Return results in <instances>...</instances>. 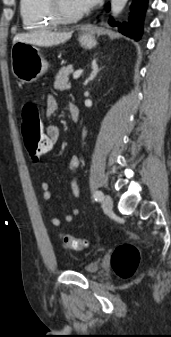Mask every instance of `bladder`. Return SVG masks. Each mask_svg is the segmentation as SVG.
<instances>
[{
	"instance_id": "1",
	"label": "bladder",
	"mask_w": 171,
	"mask_h": 337,
	"mask_svg": "<svg viewBox=\"0 0 171 337\" xmlns=\"http://www.w3.org/2000/svg\"><path fill=\"white\" fill-rule=\"evenodd\" d=\"M100 267H101V265H100L99 262H91V263H88L87 265H85L83 267L82 271L85 274L94 275L100 270Z\"/></svg>"
}]
</instances>
